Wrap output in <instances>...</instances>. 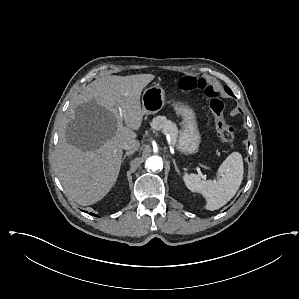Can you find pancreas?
<instances>
[{"mask_svg":"<svg viewBox=\"0 0 299 299\" xmlns=\"http://www.w3.org/2000/svg\"><path fill=\"white\" fill-rule=\"evenodd\" d=\"M155 130H162L163 133L168 134L171 138L172 144L177 145L178 128L175 123L167 120L165 116H157L150 123Z\"/></svg>","mask_w":299,"mask_h":299,"instance_id":"cf45deb5","label":"pancreas"}]
</instances>
